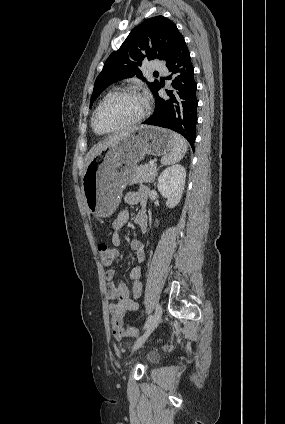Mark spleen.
<instances>
[{
    "label": "spleen",
    "instance_id": "3e777b00",
    "mask_svg": "<svg viewBox=\"0 0 285 424\" xmlns=\"http://www.w3.org/2000/svg\"><path fill=\"white\" fill-rule=\"evenodd\" d=\"M173 138V148L167 155L163 156L161 159V163L163 165H170L179 162L188 150V143L184 137L177 133H174Z\"/></svg>",
    "mask_w": 285,
    "mask_h": 424
}]
</instances>
